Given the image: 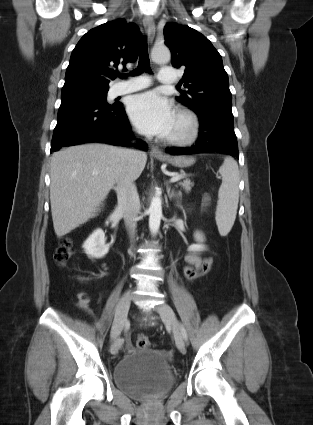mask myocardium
<instances>
[{
  "mask_svg": "<svg viewBox=\"0 0 313 425\" xmlns=\"http://www.w3.org/2000/svg\"><path fill=\"white\" fill-rule=\"evenodd\" d=\"M175 116L182 120L186 128L183 132L167 135L165 141L173 145H188L193 143L200 132V121L198 116L188 109H178Z\"/></svg>",
  "mask_w": 313,
  "mask_h": 425,
  "instance_id": "myocardium-1",
  "label": "myocardium"
}]
</instances>
